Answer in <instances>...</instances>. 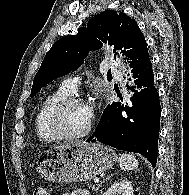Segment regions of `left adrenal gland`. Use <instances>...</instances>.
I'll list each match as a JSON object with an SVG mask.
<instances>
[{
  "label": "left adrenal gland",
  "instance_id": "a2214340",
  "mask_svg": "<svg viewBox=\"0 0 189 195\" xmlns=\"http://www.w3.org/2000/svg\"><path fill=\"white\" fill-rule=\"evenodd\" d=\"M114 174H111L110 176L106 177V179L103 180V182H105L106 180L110 179V177H112ZM100 186V185H99ZM99 186L96 188V190H98Z\"/></svg>",
  "mask_w": 189,
  "mask_h": 195
}]
</instances>
